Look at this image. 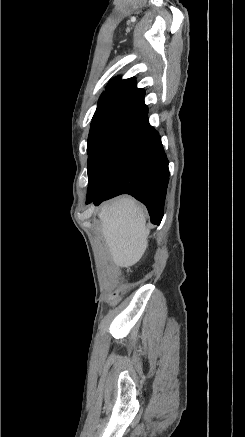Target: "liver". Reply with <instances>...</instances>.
I'll list each match as a JSON object with an SVG mask.
<instances>
[{
    "label": "liver",
    "mask_w": 245,
    "mask_h": 437,
    "mask_svg": "<svg viewBox=\"0 0 245 437\" xmlns=\"http://www.w3.org/2000/svg\"><path fill=\"white\" fill-rule=\"evenodd\" d=\"M98 217L113 262L125 268L136 264L148 247L143 208L133 199L122 197L103 206Z\"/></svg>",
    "instance_id": "1"
}]
</instances>
